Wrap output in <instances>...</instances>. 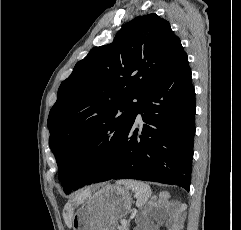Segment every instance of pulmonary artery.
Here are the masks:
<instances>
[{
    "label": "pulmonary artery",
    "instance_id": "obj_1",
    "mask_svg": "<svg viewBox=\"0 0 241 230\" xmlns=\"http://www.w3.org/2000/svg\"><path fill=\"white\" fill-rule=\"evenodd\" d=\"M140 118H141V116H140V115H138V120H140Z\"/></svg>",
    "mask_w": 241,
    "mask_h": 230
}]
</instances>
